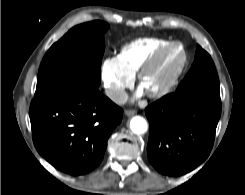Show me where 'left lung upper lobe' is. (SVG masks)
Returning a JSON list of instances; mask_svg holds the SVG:
<instances>
[{
	"instance_id": "1",
	"label": "left lung upper lobe",
	"mask_w": 245,
	"mask_h": 195,
	"mask_svg": "<svg viewBox=\"0 0 245 195\" xmlns=\"http://www.w3.org/2000/svg\"><path fill=\"white\" fill-rule=\"evenodd\" d=\"M175 93L220 98L215 65L210 55L199 45L196 46L194 63Z\"/></svg>"
}]
</instances>
